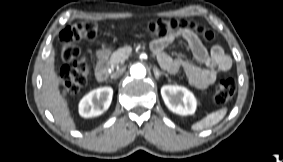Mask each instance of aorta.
I'll list each match as a JSON object with an SVG mask.
<instances>
[{"label":"aorta","instance_id":"obj_1","mask_svg":"<svg viewBox=\"0 0 283 162\" xmlns=\"http://www.w3.org/2000/svg\"><path fill=\"white\" fill-rule=\"evenodd\" d=\"M130 74L134 78L141 79L146 76V69L141 64H134L130 68Z\"/></svg>","mask_w":283,"mask_h":162}]
</instances>
